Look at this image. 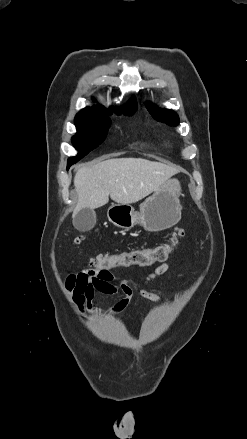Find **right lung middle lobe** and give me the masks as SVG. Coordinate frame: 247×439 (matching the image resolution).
<instances>
[{"instance_id": "1", "label": "right lung middle lobe", "mask_w": 247, "mask_h": 439, "mask_svg": "<svg viewBox=\"0 0 247 439\" xmlns=\"http://www.w3.org/2000/svg\"><path fill=\"white\" fill-rule=\"evenodd\" d=\"M135 111L136 109L123 112V114L132 115ZM75 125L77 133L72 137V143L79 153L68 159V168L104 141L110 126V119L108 116L77 115Z\"/></svg>"}]
</instances>
